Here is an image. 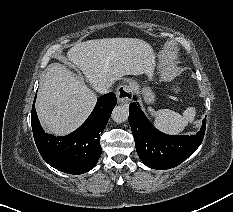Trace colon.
<instances>
[{
	"label": "colon",
	"instance_id": "1",
	"mask_svg": "<svg viewBox=\"0 0 233 212\" xmlns=\"http://www.w3.org/2000/svg\"><path fill=\"white\" fill-rule=\"evenodd\" d=\"M175 91H176V92H178V91H179V89H178V88H176V89H175Z\"/></svg>",
	"mask_w": 233,
	"mask_h": 212
}]
</instances>
